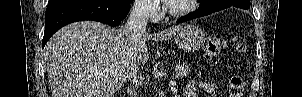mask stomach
Here are the masks:
<instances>
[{
  "mask_svg": "<svg viewBox=\"0 0 302 97\" xmlns=\"http://www.w3.org/2000/svg\"><path fill=\"white\" fill-rule=\"evenodd\" d=\"M206 41L205 32L195 26L186 25L180 29L175 37L176 45L186 51H197L199 50Z\"/></svg>",
  "mask_w": 302,
  "mask_h": 97,
  "instance_id": "obj_1",
  "label": "stomach"
}]
</instances>
